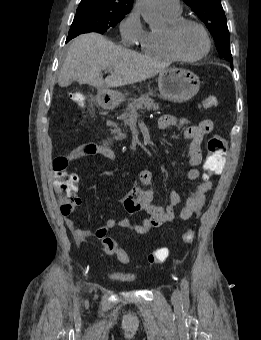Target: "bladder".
<instances>
[{"mask_svg":"<svg viewBox=\"0 0 261 340\" xmlns=\"http://www.w3.org/2000/svg\"><path fill=\"white\" fill-rule=\"evenodd\" d=\"M111 277L115 280L122 281V282H128V283L136 282V277L132 275H121V274L113 273Z\"/></svg>","mask_w":261,"mask_h":340,"instance_id":"1","label":"bladder"}]
</instances>
